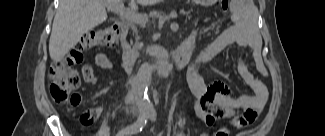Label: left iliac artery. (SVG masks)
<instances>
[{"label":"left iliac artery","instance_id":"1","mask_svg":"<svg viewBox=\"0 0 325 136\" xmlns=\"http://www.w3.org/2000/svg\"><path fill=\"white\" fill-rule=\"evenodd\" d=\"M148 118L152 121H154L156 119V113L155 112H150L148 115Z\"/></svg>","mask_w":325,"mask_h":136}]
</instances>
